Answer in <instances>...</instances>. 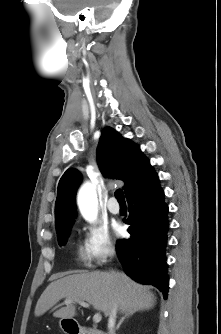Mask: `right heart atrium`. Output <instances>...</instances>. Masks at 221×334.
I'll return each instance as SVG.
<instances>
[{"mask_svg": "<svg viewBox=\"0 0 221 334\" xmlns=\"http://www.w3.org/2000/svg\"><path fill=\"white\" fill-rule=\"evenodd\" d=\"M83 231L86 256L96 265L104 264L116 250L107 227L99 222H91L84 226Z\"/></svg>", "mask_w": 221, "mask_h": 334, "instance_id": "d8ad5b80", "label": "right heart atrium"}]
</instances>
